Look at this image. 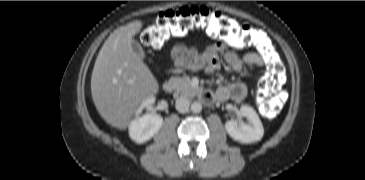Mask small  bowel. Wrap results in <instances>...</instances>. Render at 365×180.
Here are the masks:
<instances>
[{
    "label": "small bowel",
    "mask_w": 365,
    "mask_h": 180,
    "mask_svg": "<svg viewBox=\"0 0 365 180\" xmlns=\"http://www.w3.org/2000/svg\"><path fill=\"white\" fill-rule=\"evenodd\" d=\"M256 36L257 33H256ZM236 73L241 72L245 67H264L263 58L255 53L248 52L242 56L234 51L227 50L219 43L208 45L204 49L175 45L170 50V58L176 67L185 68L190 71H201L206 74L218 71L221 68V58ZM247 95V86L242 82H235L228 86L220 87L214 97L220 100L232 99L241 101Z\"/></svg>",
    "instance_id": "c3829d8e"
}]
</instances>
